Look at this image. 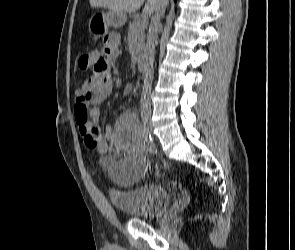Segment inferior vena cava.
I'll list each match as a JSON object with an SVG mask.
<instances>
[{"mask_svg":"<svg viewBox=\"0 0 295 250\" xmlns=\"http://www.w3.org/2000/svg\"><path fill=\"white\" fill-rule=\"evenodd\" d=\"M165 0H157V6L155 9V14L151 19V23L149 26L148 34H147V44L145 49V76H144V85L143 91L141 95V116H150L151 115V89L153 82V74H154V60H155V47L157 44V33L159 29L160 18L165 11L164 6Z\"/></svg>","mask_w":295,"mask_h":250,"instance_id":"1","label":"inferior vena cava"}]
</instances>
